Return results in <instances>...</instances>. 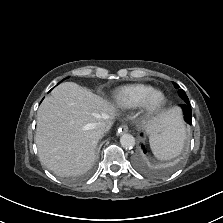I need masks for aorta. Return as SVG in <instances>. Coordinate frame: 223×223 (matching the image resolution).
<instances>
[{"instance_id":"aorta-1","label":"aorta","mask_w":223,"mask_h":223,"mask_svg":"<svg viewBox=\"0 0 223 223\" xmlns=\"http://www.w3.org/2000/svg\"><path fill=\"white\" fill-rule=\"evenodd\" d=\"M120 144L125 149H132L135 145V138L131 134H123L120 137Z\"/></svg>"}]
</instances>
